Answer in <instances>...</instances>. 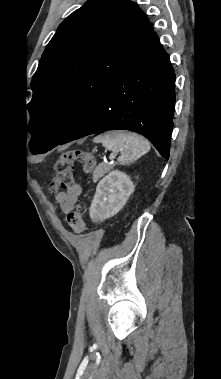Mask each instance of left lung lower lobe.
<instances>
[{"instance_id":"obj_1","label":"left lung lower lobe","mask_w":221,"mask_h":379,"mask_svg":"<svg viewBox=\"0 0 221 379\" xmlns=\"http://www.w3.org/2000/svg\"><path fill=\"white\" fill-rule=\"evenodd\" d=\"M174 88L175 73L169 56L153 33L57 145L97 132L125 129L145 136L168 159Z\"/></svg>"}]
</instances>
